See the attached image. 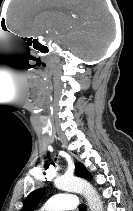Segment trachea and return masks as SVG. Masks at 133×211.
Returning <instances> with one entry per match:
<instances>
[{
  "label": "trachea",
  "instance_id": "trachea-1",
  "mask_svg": "<svg viewBox=\"0 0 133 211\" xmlns=\"http://www.w3.org/2000/svg\"><path fill=\"white\" fill-rule=\"evenodd\" d=\"M79 211H86V205L81 204L80 207H79Z\"/></svg>",
  "mask_w": 133,
  "mask_h": 211
}]
</instances>
